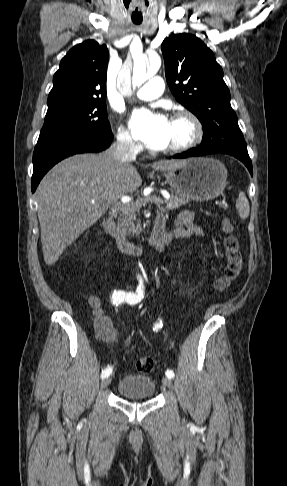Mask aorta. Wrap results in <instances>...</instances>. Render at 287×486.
Here are the masks:
<instances>
[{"label":"aorta","instance_id":"762f6f07","mask_svg":"<svg viewBox=\"0 0 287 486\" xmlns=\"http://www.w3.org/2000/svg\"><path fill=\"white\" fill-rule=\"evenodd\" d=\"M161 66V60L159 57H154L147 65L144 61L134 64L131 85L133 89L140 87L149 77L155 75ZM118 89L126 94L129 90V82L124 76H121L118 81Z\"/></svg>","mask_w":287,"mask_h":486}]
</instances>
